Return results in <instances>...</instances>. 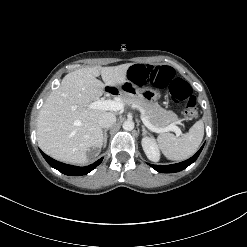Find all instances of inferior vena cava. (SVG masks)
Segmentation results:
<instances>
[{
  "label": "inferior vena cava",
  "mask_w": 247,
  "mask_h": 247,
  "mask_svg": "<svg viewBox=\"0 0 247 247\" xmlns=\"http://www.w3.org/2000/svg\"><path fill=\"white\" fill-rule=\"evenodd\" d=\"M98 121L102 128H109L116 122V116L111 112H104L99 116Z\"/></svg>",
  "instance_id": "obj_1"
}]
</instances>
